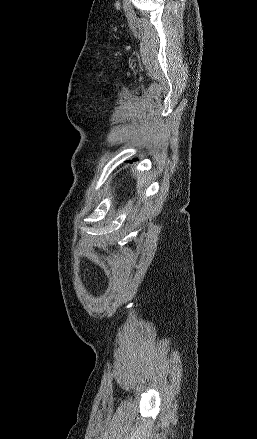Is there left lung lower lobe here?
I'll use <instances>...</instances> for the list:
<instances>
[{"label":"left lung lower lobe","mask_w":257,"mask_h":439,"mask_svg":"<svg viewBox=\"0 0 257 439\" xmlns=\"http://www.w3.org/2000/svg\"><path fill=\"white\" fill-rule=\"evenodd\" d=\"M137 159H134V160H131V161H129L130 163H132L133 161H136Z\"/></svg>","instance_id":"0a47b994"}]
</instances>
